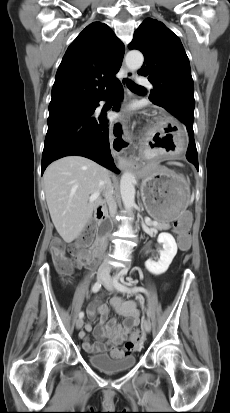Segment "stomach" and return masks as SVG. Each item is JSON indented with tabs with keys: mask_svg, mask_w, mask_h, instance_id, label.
Segmentation results:
<instances>
[{
	"mask_svg": "<svg viewBox=\"0 0 230 413\" xmlns=\"http://www.w3.org/2000/svg\"><path fill=\"white\" fill-rule=\"evenodd\" d=\"M141 197L148 214L159 223L177 219L188 206L190 188L187 180L165 167L142 171Z\"/></svg>",
	"mask_w": 230,
	"mask_h": 413,
	"instance_id": "obj_1",
	"label": "stomach"
}]
</instances>
